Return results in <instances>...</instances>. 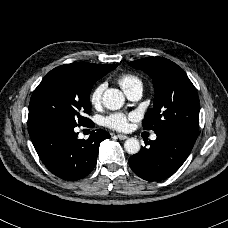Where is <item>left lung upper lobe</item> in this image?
Returning a JSON list of instances; mask_svg holds the SVG:
<instances>
[{
	"mask_svg": "<svg viewBox=\"0 0 228 228\" xmlns=\"http://www.w3.org/2000/svg\"><path fill=\"white\" fill-rule=\"evenodd\" d=\"M153 80L154 106L145 114L143 129L155 133L177 132L197 138L199 133L198 93L186 73L174 62L148 57L129 63Z\"/></svg>",
	"mask_w": 228,
	"mask_h": 228,
	"instance_id": "5c2ea615",
	"label": "left lung upper lobe"
}]
</instances>
